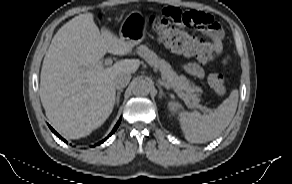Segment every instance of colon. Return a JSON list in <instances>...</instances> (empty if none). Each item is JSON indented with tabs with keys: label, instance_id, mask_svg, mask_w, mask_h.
Segmentation results:
<instances>
[{
	"label": "colon",
	"instance_id": "obj_1",
	"mask_svg": "<svg viewBox=\"0 0 292 184\" xmlns=\"http://www.w3.org/2000/svg\"><path fill=\"white\" fill-rule=\"evenodd\" d=\"M151 22L159 40L173 51L196 56L203 62L214 58L216 53L214 45L189 36L178 28L210 27L213 22L207 14L169 7L161 16L152 17ZM208 83L217 95L222 96L226 93L225 79L221 72L210 73Z\"/></svg>",
	"mask_w": 292,
	"mask_h": 184
}]
</instances>
